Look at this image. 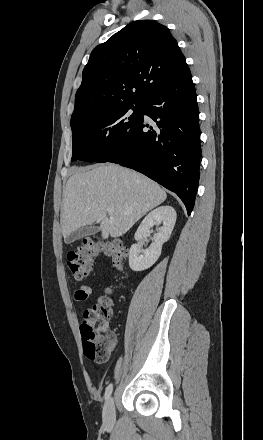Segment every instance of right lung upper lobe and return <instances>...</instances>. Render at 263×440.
<instances>
[{
  "label": "right lung upper lobe",
  "mask_w": 263,
  "mask_h": 440,
  "mask_svg": "<svg viewBox=\"0 0 263 440\" xmlns=\"http://www.w3.org/2000/svg\"><path fill=\"white\" fill-rule=\"evenodd\" d=\"M188 70L177 41L164 25L134 21L92 51L76 92L71 127L87 114L142 103Z\"/></svg>",
  "instance_id": "1"
}]
</instances>
